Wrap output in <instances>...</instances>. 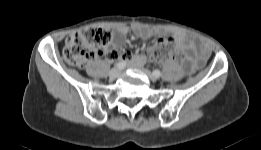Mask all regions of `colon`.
Wrapping results in <instances>:
<instances>
[{"label": "colon", "mask_w": 261, "mask_h": 150, "mask_svg": "<svg viewBox=\"0 0 261 150\" xmlns=\"http://www.w3.org/2000/svg\"><path fill=\"white\" fill-rule=\"evenodd\" d=\"M112 32L100 27H89L68 36L63 49V59L68 65L83 68L94 58L106 56ZM149 57L158 62L183 61L184 53L173 38L159 39L149 51Z\"/></svg>", "instance_id": "colon-1"}]
</instances>
